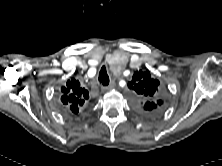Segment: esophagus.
Listing matches in <instances>:
<instances>
[{
  "label": "esophagus",
  "instance_id": "34e87169",
  "mask_svg": "<svg viewBox=\"0 0 222 166\" xmlns=\"http://www.w3.org/2000/svg\"><path fill=\"white\" fill-rule=\"evenodd\" d=\"M114 87H115V83L112 82L109 86H103V87H101V91L104 93V92H106V91H108V90H111V89L114 88Z\"/></svg>",
  "mask_w": 222,
  "mask_h": 166
}]
</instances>
